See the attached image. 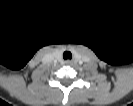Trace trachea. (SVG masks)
Listing matches in <instances>:
<instances>
[{
    "instance_id": "1",
    "label": "trachea",
    "mask_w": 133,
    "mask_h": 106,
    "mask_svg": "<svg viewBox=\"0 0 133 106\" xmlns=\"http://www.w3.org/2000/svg\"><path fill=\"white\" fill-rule=\"evenodd\" d=\"M63 58H64V59H71V58H72L71 52L65 51V52L63 53Z\"/></svg>"
}]
</instances>
